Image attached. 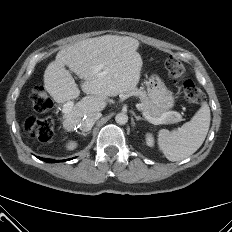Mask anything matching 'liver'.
Masks as SVG:
<instances>
[{
	"label": "liver",
	"instance_id": "1",
	"mask_svg": "<svg viewBox=\"0 0 232 232\" xmlns=\"http://www.w3.org/2000/svg\"><path fill=\"white\" fill-rule=\"evenodd\" d=\"M138 47L139 41L132 37L104 35L79 41L57 53L44 72V89L59 104L76 99L80 90L73 72L84 79L81 88L87 94L64 113L66 131L77 128L84 116L104 110L108 97L136 89L143 65Z\"/></svg>",
	"mask_w": 232,
	"mask_h": 232
}]
</instances>
